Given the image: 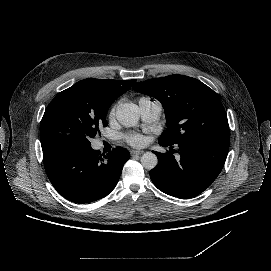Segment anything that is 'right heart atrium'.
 <instances>
[{
    "mask_svg": "<svg viewBox=\"0 0 271 271\" xmlns=\"http://www.w3.org/2000/svg\"><path fill=\"white\" fill-rule=\"evenodd\" d=\"M120 104V100H118L113 106H112V108L110 109V112H109V115L110 116H113L114 115V113H115V110H116V108H117V106Z\"/></svg>",
    "mask_w": 271,
    "mask_h": 271,
    "instance_id": "d8ad5b80",
    "label": "right heart atrium"
}]
</instances>
